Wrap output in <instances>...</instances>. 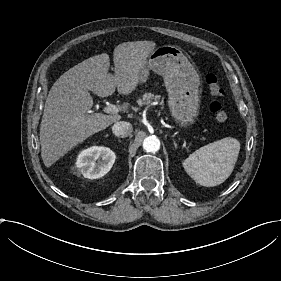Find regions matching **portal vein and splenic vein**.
Wrapping results in <instances>:
<instances>
[{"label":"portal vein and splenic vein","mask_w":281,"mask_h":281,"mask_svg":"<svg viewBox=\"0 0 281 281\" xmlns=\"http://www.w3.org/2000/svg\"><path fill=\"white\" fill-rule=\"evenodd\" d=\"M105 111L112 115L121 113V109L117 105H113L110 103L107 104Z\"/></svg>","instance_id":"1"}]
</instances>
